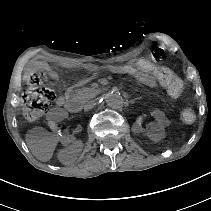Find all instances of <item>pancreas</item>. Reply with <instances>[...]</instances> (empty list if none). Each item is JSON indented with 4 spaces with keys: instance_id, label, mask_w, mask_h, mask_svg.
I'll use <instances>...</instances> for the list:
<instances>
[{
    "instance_id": "1",
    "label": "pancreas",
    "mask_w": 211,
    "mask_h": 211,
    "mask_svg": "<svg viewBox=\"0 0 211 211\" xmlns=\"http://www.w3.org/2000/svg\"><path fill=\"white\" fill-rule=\"evenodd\" d=\"M96 96L93 89L82 88L74 92V98L78 99L81 103H87L91 98Z\"/></svg>"
}]
</instances>
